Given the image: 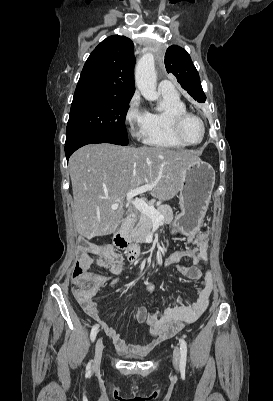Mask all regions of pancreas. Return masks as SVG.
Segmentation results:
<instances>
[{
  "label": "pancreas",
  "mask_w": 273,
  "mask_h": 401,
  "mask_svg": "<svg viewBox=\"0 0 273 401\" xmlns=\"http://www.w3.org/2000/svg\"><path fill=\"white\" fill-rule=\"evenodd\" d=\"M157 211H159L160 215H163L164 219L161 221L163 225H169L173 221V211L169 205H159L157 207ZM152 229V219L148 217V215H144V213H140L139 217H137L136 221H134L132 227H130V237L132 241L135 243H142L144 239H146L147 235L151 233Z\"/></svg>",
  "instance_id": "1"
}]
</instances>
